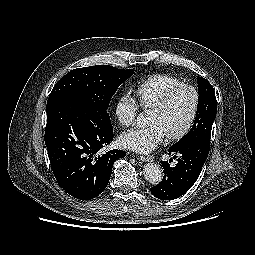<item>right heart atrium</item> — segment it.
Masks as SVG:
<instances>
[{
	"label": "right heart atrium",
	"mask_w": 255,
	"mask_h": 255,
	"mask_svg": "<svg viewBox=\"0 0 255 255\" xmlns=\"http://www.w3.org/2000/svg\"><path fill=\"white\" fill-rule=\"evenodd\" d=\"M138 110L137 100L127 92L122 93L115 103V118L120 125L129 126L134 123Z\"/></svg>",
	"instance_id": "right-heart-atrium-1"
}]
</instances>
